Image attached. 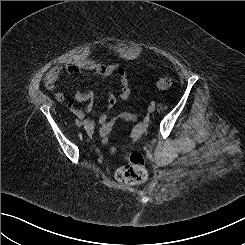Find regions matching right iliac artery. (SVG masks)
I'll use <instances>...</instances> for the list:
<instances>
[{"label":"right iliac artery","mask_w":245,"mask_h":245,"mask_svg":"<svg viewBox=\"0 0 245 245\" xmlns=\"http://www.w3.org/2000/svg\"><path fill=\"white\" fill-rule=\"evenodd\" d=\"M75 123L79 125L80 121L78 119H75Z\"/></svg>","instance_id":"82829eb1"}]
</instances>
